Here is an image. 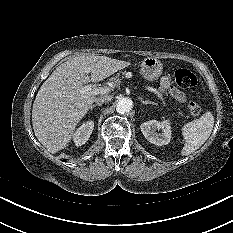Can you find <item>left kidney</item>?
Returning a JSON list of instances; mask_svg holds the SVG:
<instances>
[{
	"label": "left kidney",
	"mask_w": 233,
	"mask_h": 233,
	"mask_svg": "<svg viewBox=\"0 0 233 233\" xmlns=\"http://www.w3.org/2000/svg\"><path fill=\"white\" fill-rule=\"evenodd\" d=\"M140 129L144 137L152 144L162 146L170 142L171 126L168 120L162 122L150 120L142 123ZM157 130H162V133H157Z\"/></svg>",
	"instance_id": "obj_1"
}]
</instances>
